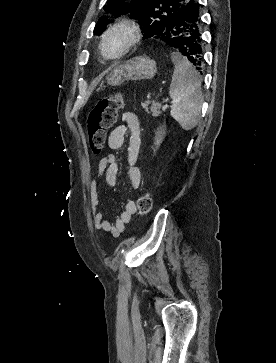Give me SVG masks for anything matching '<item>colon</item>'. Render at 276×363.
Returning a JSON list of instances; mask_svg holds the SVG:
<instances>
[{
	"label": "colon",
	"mask_w": 276,
	"mask_h": 363,
	"mask_svg": "<svg viewBox=\"0 0 276 363\" xmlns=\"http://www.w3.org/2000/svg\"><path fill=\"white\" fill-rule=\"evenodd\" d=\"M123 106L120 94L99 100L90 110L87 118L89 145L95 154H100L104 148L107 131L116 120L117 113ZM153 199L150 193H142L137 201L141 215H148L152 210Z\"/></svg>",
	"instance_id": "colon-1"
}]
</instances>
